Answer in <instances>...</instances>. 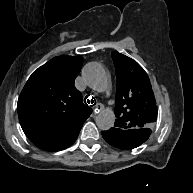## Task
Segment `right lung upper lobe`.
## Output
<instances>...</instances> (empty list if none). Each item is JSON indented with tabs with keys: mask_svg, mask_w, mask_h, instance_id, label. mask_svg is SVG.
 Masks as SVG:
<instances>
[{
	"mask_svg": "<svg viewBox=\"0 0 193 193\" xmlns=\"http://www.w3.org/2000/svg\"><path fill=\"white\" fill-rule=\"evenodd\" d=\"M82 64L81 56L54 57L30 76L19 96L21 127L43 150L59 151L72 145L92 112L74 86Z\"/></svg>",
	"mask_w": 193,
	"mask_h": 193,
	"instance_id": "obj_1",
	"label": "right lung upper lobe"
}]
</instances>
